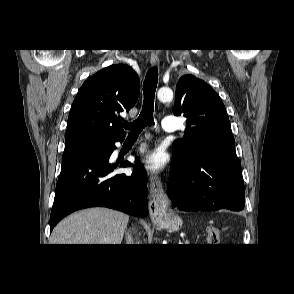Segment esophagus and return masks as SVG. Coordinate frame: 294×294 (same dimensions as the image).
Listing matches in <instances>:
<instances>
[{
    "label": "esophagus",
    "instance_id": "1",
    "mask_svg": "<svg viewBox=\"0 0 294 294\" xmlns=\"http://www.w3.org/2000/svg\"><path fill=\"white\" fill-rule=\"evenodd\" d=\"M152 66H158L160 63L157 53L152 52L150 56ZM169 198L166 195L162 182L158 175L153 174L150 177V201L149 214L153 222L162 219L167 212Z\"/></svg>",
    "mask_w": 294,
    "mask_h": 294
}]
</instances>
